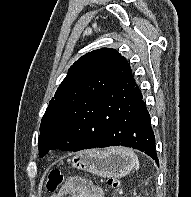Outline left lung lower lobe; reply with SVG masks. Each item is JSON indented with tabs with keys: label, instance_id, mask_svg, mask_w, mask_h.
<instances>
[{
	"label": "left lung lower lobe",
	"instance_id": "0a47b994",
	"mask_svg": "<svg viewBox=\"0 0 191 197\" xmlns=\"http://www.w3.org/2000/svg\"><path fill=\"white\" fill-rule=\"evenodd\" d=\"M69 151L126 146L140 150L158 164L150 115L134 78L102 92L64 129Z\"/></svg>",
	"mask_w": 191,
	"mask_h": 197
}]
</instances>
